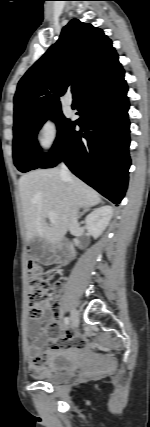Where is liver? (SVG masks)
<instances>
[{
	"mask_svg": "<svg viewBox=\"0 0 150 427\" xmlns=\"http://www.w3.org/2000/svg\"><path fill=\"white\" fill-rule=\"evenodd\" d=\"M19 192L26 227V239L40 238L59 243L69 228L71 210L100 203V195L75 176L62 177L60 169H38L19 179ZM56 213V223L48 226L49 211Z\"/></svg>",
	"mask_w": 150,
	"mask_h": 427,
	"instance_id": "1",
	"label": "liver"
}]
</instances>
